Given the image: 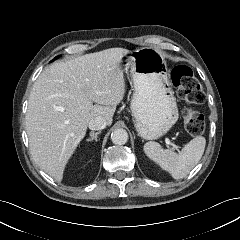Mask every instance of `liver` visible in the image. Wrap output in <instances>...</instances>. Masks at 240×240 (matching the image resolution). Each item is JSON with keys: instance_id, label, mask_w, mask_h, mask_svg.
Returning <instances> with one entry per match:
<instances>
[{"instance_id": "1", "label": "liver", "mask_w": 240, "mask_h": 240, "mask_svg": "<svg viewBox=\"0 0 240 240\" xmlns=\"http://www.w3.org/2000/svg\"><path fill=\"white\" fill-rule=\"evenodd\" d=\"M129 50L110 48L46 68L35 81L25 117L31 155L60 182L89 121L101 116L111 125L125 95L121 56ZM93 103H95L93 105Z\"/></svg>"}]
</instances>
